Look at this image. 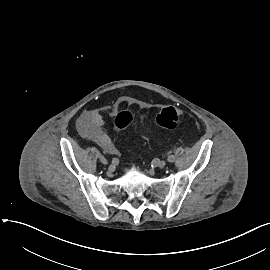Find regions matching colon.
I'll return each mask as SVG.
<instances>
[{
    "label": "colon",
    "mask_w": 270,
    "mask_h": 270,
    "mask_svg": "<svg viewBox=\"0 0 270 270\" xmlns=\"http://www.w3.org/2000/svg\"><path fill=\"white\" fill-rule=\"evenodd\" d=\"M132 114L123 110L114 119V128L117 132H123L132 122ZM180 112L173 106L163 107L157 114L155 120L164 129H175L180 123Z\"/></svg>",
    "instance_id": "5ec220e1"
}]
</instances>
